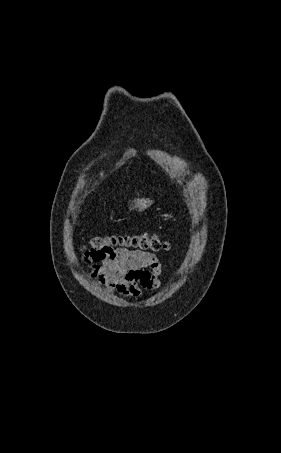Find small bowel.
Returning a JSON list of instances; mask_svg holds the SVG:
<instances>
[{"label":"small bowel","mask_w":281,"mask_h":453,"mask_svg":"<svg viewBox=\"0 0 281 453\" xmlns=\"http://www.w3.org/2000/svg\"><path fill=\"white\" fill-rule=\"evenodd\" d=\"M101 259V265L88 263V276L108 291L139 298L143 290H157L163 283L164 270L154 253L117 247L103 250Z\"/></svg>","instance_id":"small-bowel-1"}]
</instances>
